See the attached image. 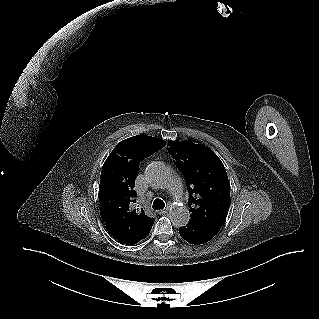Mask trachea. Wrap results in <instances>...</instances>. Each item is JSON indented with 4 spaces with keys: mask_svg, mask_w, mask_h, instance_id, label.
Segmentation results:
<instances>
[{
    "mask_svg": "<svg viewBox=\"0 0 319 319\" xmlns=\"http://www.w3.org/2000/svg\"><path fill=\"white\" fill-rule=\"evenodd\" d=\"M164 207H165V203H164L163 200H161V199H159V198H157V199L154 200L153 205H152V208H153L154 210H161V209H163Z\"/></svg>",
    "mask_w": 319,
    "mask_h": 319,
    "instance_id": "trachea-1",
    "label": "trachea"
}]
</instances>
